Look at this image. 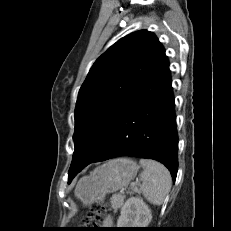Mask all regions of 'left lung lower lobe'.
I'll list each match as a JSON object with an SVG mask.
<instances>
[{"instance_id":"1","label":"left lung lower lobe","mask_w":231,"mask_h":231,"mask_svg":"<svg viewBox=\"0 0 231 231\" xmlns=\"http://www.w3.org/2000/svg\"><path fill=\"white\" fill-rule=\"evenodd\" d=\"M169 62L165 50L114 118L86 164L69 173L68 183L84 167L119 156L154 159L176 179L178 136Z\"/></svg>"}]
</instances>
